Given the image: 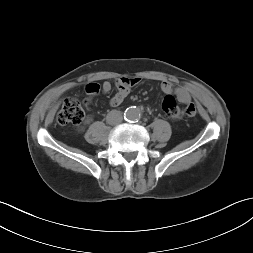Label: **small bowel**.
<instances>
[{
    "mask_svg": "<svg viewBox=\"0 0 253 253\" xmlns=\"http://www.w3.org/2000/svg\"><path fill=\"white\" fill-rule=\"evenodd\" d=\"M140 81L141 79L138 77H122L117 79L115 83L116 92L110 99V105L112 106L120 105L128 96L130 89L139 84ZM111 88L112 85L109 82H105L101 87L103 93H109L111 91ZM99 90L100 87L96 83H89L86 86V91L89 94H95ZM160 90L165 94L174 93L181 103L187 105L181 109V116L184 119H191L192 117L195 116L196 114L195 105L192 103L190 93L184 87H174L172 83H170L169 81H162L160 83Z\"/></svg>",
    "mask_w": 253,
    "mask_h": 253,
    "instance_id": "c3829d8e",
    "label": "small bowel"
}]
</instances>
